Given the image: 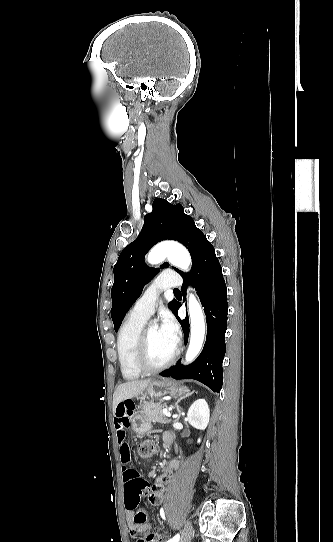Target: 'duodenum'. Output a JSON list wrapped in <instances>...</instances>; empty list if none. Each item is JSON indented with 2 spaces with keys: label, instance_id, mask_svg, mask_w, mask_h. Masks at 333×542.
<instances>
[{
  "label": "duodenum",
  "instance_id": "410a0bca",
  "mask_svg": "<svg viewBox=\"0 0 333 542\" xmlns=\"http://www.w3.org/2000/svg\"><path fill=\"white\" fill-rule=\"evenodd\" d=\"M164 440H165V442H166L167 444H172L173 441H174V436H173L172 434L168 433V434H166V435L164 436Z\"/></svg>",
  "mask_w": 333,
  "mask_h": 542
}]
</instances>
